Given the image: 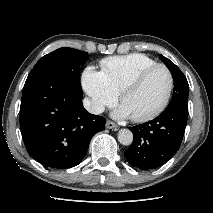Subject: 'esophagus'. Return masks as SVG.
<instances>
[{"label": "esophagus", "mask_w": 213, "mask_h": 213, "mask_svg": "<svg viewBox=\"0 0 213 213\" xmlns=\"http://www.w3.org/2000/svg\"><path fill=\"white\" fill-rule=\"evenodd\" d=\"M106 127H107L108 129L118 130V125L115 124L114 122L110 121V120H108V121L106 122Z\"/></svg>", "instance_id": "obj_1"}]
</instances>
